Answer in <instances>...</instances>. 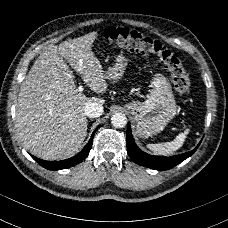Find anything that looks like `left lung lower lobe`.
<instances>
[{
    "label": "left lung lower lobe",
    "mask_w": 228,
    "mask_h": 228,
    "mask_svg": "<svg viewBox=\"0 0 228 228\" xmlns=\"http://www.w3.org/2000/svg\"><path fill=\"white\" fill-rule=\"evenodd\" d=\"M126 137H127V152L129 157L135 163L141 166L148 167L155 170H160V171L171 169L177 164L187 159L188 157H190L197 150V148L201 143L200 141L197 147L190 152H186V153L171 156V157H164V156H152L140 150L134 142V139L131 133L130 124H128L127 126Z\"/></svg>",
    "instance_id": "0a47b994"
}]
</instances>
